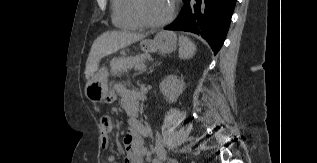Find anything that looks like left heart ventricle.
Segmentation results:
<instances>
[{
	"label": "left heart ventricle",
	"mask_w": 317,
	"mask_h": 163,
	"mask_svg": "<svg viewBox=\"0 0 317 163\" xmlns=\"http://www.w3.org/2000/svg\"><path fill=\"white\" fill-rule=\"evenodd\" d=\"M173 0H144L143 8L145 15L151 21H161L165 19L172 8Z\"/></svg>",
	"instance_id": "left-heart-ventricle-1"
}]
</instances>
